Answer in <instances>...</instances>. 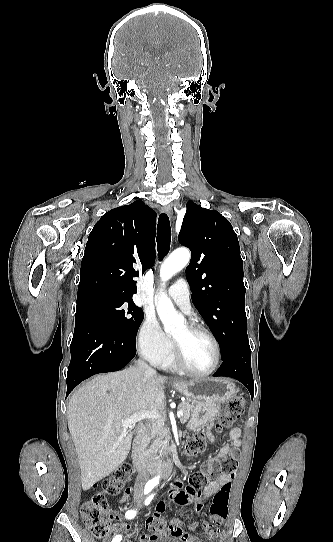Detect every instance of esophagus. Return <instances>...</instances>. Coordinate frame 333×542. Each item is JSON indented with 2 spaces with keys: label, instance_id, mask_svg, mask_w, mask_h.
I'll return each instance as SVG.
<instances>
[{
  "label": "esophagus",
  "instance_id": "1",
  "mask_svg": "<svg viewBox=\"0 0 333 542\" xmlns=\"http://www.w3.org/2000/svg\"><path fill=\"white\" fill-rule=\"evenodd\" d=\"M163 212H165L170 218H172L173 216V210L171 208L170 205H166L164 208H163ZM174 383L178 382L177 380H174L173 381Z\"/></svg>",
  "mask_w": 333,
  "mask_h": 542
}]
</instances>
